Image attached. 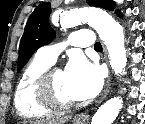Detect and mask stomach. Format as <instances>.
Masks as SVG:
<instances>
[{"mask_svg":"<svg viewBox=\"0 0 145 124\" xmlns=\"http://www.w3.org/2000/svg\"><path fill=\"white\" fill-rule=\"evenodd\" d=\"M74 124H83V123L79 121H75Z\"/></svg>","mask_w":145,"mask_h":124,"instance_id":"obj_1","label":"stomach"}]
</instances>
